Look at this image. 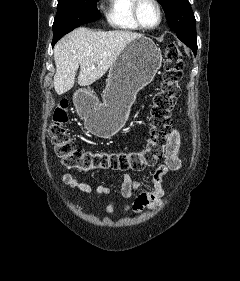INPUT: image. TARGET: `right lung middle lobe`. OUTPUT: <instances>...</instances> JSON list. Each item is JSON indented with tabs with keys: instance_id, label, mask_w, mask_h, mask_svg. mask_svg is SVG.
I'll use <instances>...</instances> for the list:
<instances>
[{
	"instance_id": "obj_1",
	"label": "right lung middle lobe",
	"mask_w": 240,
	"mask_h": 281,
	"mask_svg": "<svg viewBox=\"0 0 240 281\" xmlns=\"http://www.w3.org/2000/svg\"><path fill=\"white\" fill-rule=\"evenodd\" d=\"M99 0H59L53 23L54 45L64 34L74 28L99 19Z\"/></svg>"
}]
</instances>
